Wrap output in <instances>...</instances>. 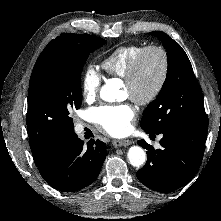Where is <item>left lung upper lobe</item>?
Returning <instances> with one entry per match:
<instances>
[{
	"instance_id": "obj_1",
	"label": "left lung upper lobe",
	"mask_w": 221,
	"mask_h": 221,
	"mask_svg": "<svg viewBox=\"0 0 221 221\" xmlns=\"http://www.w3.org/2000/svg\"><path fill=\"white\" fill-rule=\"evenodd\" d=\"M163 42L168 58L166 80L158 97L143 113L140 125L146 133L160 134L173 125L206 126L203 95L191 63L181 46L162 32H151Z\"/></svg>"
}]
</instances>
